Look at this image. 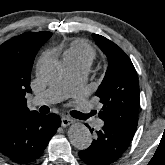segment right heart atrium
<instances>
[{
  "label": "right heart atrium",
  "instance_id": "d8ad5b80",
  "mask_svg": "<svg viewBox=\"0 0 165 165\" xmlns=\"http://www.w3.org/2000/svg\"><path fill=\"white\" fill-rule=\"evenodd\" d=\"M47 57H48L47 53H45L41 56V58L38 61V67L47 59Z\"/></svg>",
  "mask_w": 165,
  "mask_h": 165
}]
</instances>
